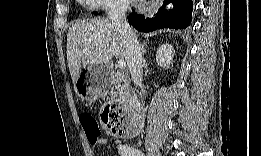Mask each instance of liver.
Instances as JSON below:
<instances>
[{"instance_id":"1","label":"liver","mask_w":261,"mask_h":156,"mask_svg":"<svg viewBox=\"0 0 261 156\" xmlns=\"http://www.w3.org/2000/svg\"><path fill=\"white\" fill-rule=\"evenodd\" d=\"M126 59L125 39L109 18L77 21L67 34V62L75 85L82 68L109 64L112 58Z\"/></svg>"}]
</instances>
